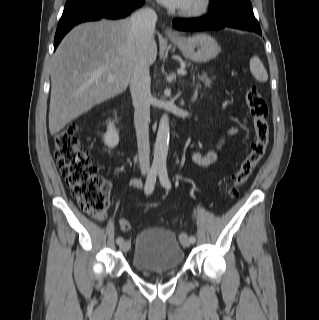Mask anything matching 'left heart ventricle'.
<instances>
[{
	"label": "left heart ventricle",
	"mask_w": 319,
	"mask_h": 320,
	"mask_svg": "<svg viewBox=\"0 0 319 320\" xmlns=\"http://www.w3.org/2000/svg\"><path fill=\"white\" fill-rule=\"evenodd\" d=\"M193 1H194V0H192V1H191V2L186 6V7L191 6V5H192V3H193ZM186 7H185V8H186Z\"/></svg>",
	"instance_id": "b2bd125f"
}]
</instances>
